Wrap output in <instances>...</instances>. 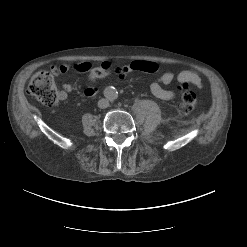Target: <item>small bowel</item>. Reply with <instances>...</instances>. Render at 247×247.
<instances>
[{"label": "small bowel", "instance_id": "obj_1", "mask_svg": "<svg viewBox=\"0 0 247 247\" xmlns=\"http://www.w3.org/2000/svg\"><path fill=\"white\" fill-rule=\"evenodd\" d=\"M108 63V62H105ZM109 64V63H108ZM110 65V64H109ZM73 69L78 73H86L91 69V65L88 62H79L73 65ZM159 67L156 63L150 61H133L128 66L121 67L116 70L117 74L124 76L131 71H142L146 73H156ZM53 74H65L70 70L68 64H61L52 66L51 68ZM177 82L179 84H193L197 87L202 86V77L195 70H184L178 74L172 72L162 73L156 80H154L150 85V90L152 94L165 101H171L176 98V93L174 91L165 89L164 86L171 84L172 82ZM73 90V85L70 82H64L62 85V90L59 91V98L61 100L67 97V94ZM97 92L95 87H87L84 90V95L86 97H93Z\"/></svg>", "mask_w": 247, "mask_h": 247}]
</instances>
